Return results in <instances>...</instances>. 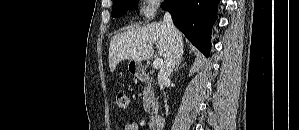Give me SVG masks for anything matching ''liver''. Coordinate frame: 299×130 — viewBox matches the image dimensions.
Returning <instances> with one entry per match:
<instances>
[{
	"label": "liver",
	"mask_w": 299,
	"mask_h": 130,
	"mask_svg": "<svg viewBox=\"0 0 299 130\" xmlns=\"http://www.w3.org/2000/svg\"><path fill=\"white\" fill-rule=\"evenodd\" d=\"M154 43L158 55L165 59L170 50L169 34L165 23L133 27L113 36L109 46L110 71L114 72L119 62L125 59L141 62L153 57Z\"/></svg>",
	"instance_id": "6515ba94"
}]
</instances>
